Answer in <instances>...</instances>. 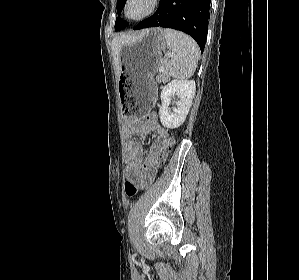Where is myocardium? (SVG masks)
Here are the masks:
<instances>
[{
    "label": "myocardium",
    "instance_id": "1",
    "mask_svg": "<svg viewBox=\"0 0 299 280\" xmlns=\"http://www.w3.org/2000/svg\"><path fill=\"white\" fill-rule=\"evenodd\" d=\"M132 1L133 0L125 1L123 12H124L125 18L130 21H133V22L143 21V20L147 19L148 17H150L151 15H153L154 12L157 10L159 3H160V0H146V2H147L146 10L141 15H139L137 17H131L128 14V7Z\"/></svg>",
    "mask_w": 299,
    "mask_h": 280
}]
</instances>
